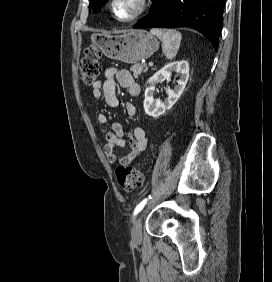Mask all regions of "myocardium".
Listing matches in <instances>:
<instances>
[{
	"label": "myocardium",
	"mask_w": 272,
	"mask_h": 282,
	"mask_svg": "<svg viewBox=\"0 0 272 282\" xmlns=\"http://www.w3.org/2000/svg\"><path fill=\"white\" fill-rule=\"evenodd\" d=\"M149 1L150 0H139V9L133 14L131 15L130 17L128 18H120L118 15H117V12H116V4L118 2V0H112L111 1V11L114 15V17L121 21V22H125V23H130V22H133L137 19H139L142 15H144V13L147 11L148 7H149Z\"/></svg>",
	"instance_id": "myocardium-1"
}]
</instances>
